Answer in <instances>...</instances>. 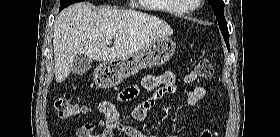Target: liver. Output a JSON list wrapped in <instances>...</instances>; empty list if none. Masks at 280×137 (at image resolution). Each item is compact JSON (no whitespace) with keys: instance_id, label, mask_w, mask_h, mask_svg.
<instances>
[{"instance_id":"obj_1","label":"liver","mask_w":280,"mask_h":137,"mask_svg":"<svg viewBox=\"0 0 280 137\" xmlns=\"http://www.w3.org/2000/svg\"><path fill=\"white\" fill-rule=\"evenodd\" d=\"M55 80L64 81L73 59L85 54L95 61L122 59L173 34L165 21L135 10L93 9L81 2L61 11L53 27ZM114 40L111 48L107 47Z\"/></svg>"}]
</instances>
